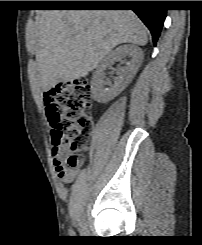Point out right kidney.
<instances>
[{
    "label": "right kidney",
    "instance_id": "obj_1",
    "mask_svg": "<svg viewBox=\"0 0 202 245\" xmlns=\"http://www.w3.org/2000/svg\"><path fill=\"white\" fill-rule=\"evenodd\" d=\"M130 58L126 66L119 67L114 83L104 81L105 71L115 61ZM143 59L142 50L135 45H123L108 53L93 73L91 80V93L94 100L107 103L119 95L131 82L137 73ZM108 86V87H106Z\"/></svg>",
    "mask_w": 202,
    "mask_h": 245
}]
</instances>
